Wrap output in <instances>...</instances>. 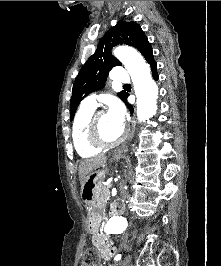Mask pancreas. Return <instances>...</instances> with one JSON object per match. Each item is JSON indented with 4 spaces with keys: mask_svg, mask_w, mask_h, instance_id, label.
<instances>
[{
    "mask_svg": "<svg viewBox=\"0 0 221 266\" xmlns=\"http://www.w3.org/2000/svg\"><path fill=\"white\" fill-rule=\"evenodd\" d=\"M110 185H102V192L105 198H109L110 196Z\"/></svg>",
    "mask_w": 221,
    "mask_h": 266,
    "instance_id": "pancreas-1",
    "label": "pancreas"
}]
</instances>
